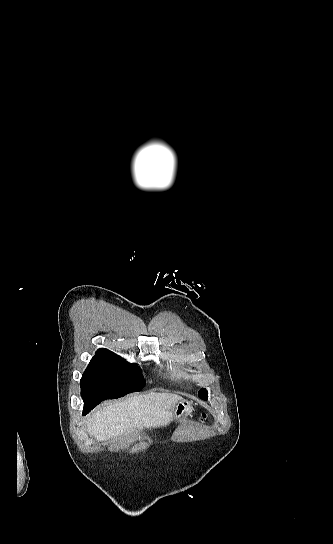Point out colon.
<instances>
[{
  "instance_id": "1",
  "label": "colon",
  "mask_w": 333,
  "mask_h": 544,
  "mask_svg": "<svg viewBox=\"0 0 333 544\" xmlns=\"http://www.w3.org/2000/svg\"><path fill=\"white\" fill-rule=\"evenodd\" d=\"M205 419H206V414H202V416L200 417V420L204 421Z\"/></svg>"
}]
</instances>
